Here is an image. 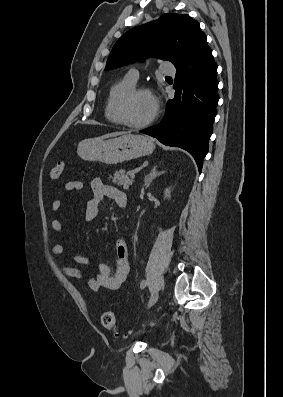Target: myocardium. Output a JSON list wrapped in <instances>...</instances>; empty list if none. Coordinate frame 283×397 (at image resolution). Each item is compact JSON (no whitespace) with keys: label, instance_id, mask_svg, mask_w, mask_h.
Here are the masks:
<instances>
[{"label":"myocardium","instance_id":"obj_1","mask_svg":"<svg viewBox=\"0 0 283 397\" xmlns=\"http://www.w3.org/2000/svg\"><path fill=\"white\" fill-rule=\"evenodd\" d=\"M140 93L148 94L153 99L154 104H155V109H154V112L150 118H148L147 120L140 122V123H134V122H131L128 120V118L126 116V107H127L128 102L134 96H136L137 94H140ZM116 112H117V116H118V119L121 124H123L129 128L140 129V128H144V127L150 125L151 123H153L156 120V118L158 117V114H159V105H158V101H157L156 97L154 96V94L152 93V91L149 88L144 87V86H134L120 96V98L118 99L117 104H116Z\"/></svg>","mask_w":283,"mask_h":397}]
</instances>
